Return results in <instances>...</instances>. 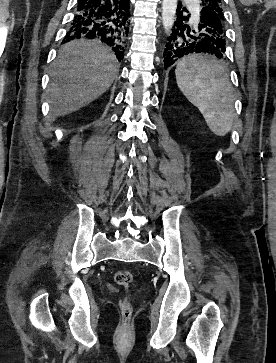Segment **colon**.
I'll use <instances>...</instances> for the list:
<instances>
[{
    "label": "colon",
    "instance_id": "colon-1",
    "mask_svg": "<svg viewBox=\"0 0 276 363\" xmlns=\"http://www.w3.org/2000/svg\"><path fill=\"white\" fill-rule=\"evenodd\" d=\"M115 282L125 288H129L133 284V275L130 271L120 270L114 274ZM119 312L122 320L127 321L132 313V307L127 299H123L119 303Z\"/></svg>",
    "mask_w": 276,
    "mask_h": 363
}]
</instances>
